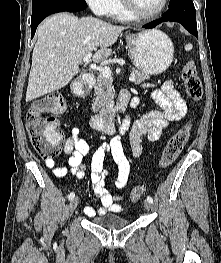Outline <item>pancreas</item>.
<instances>
[{
	"instance_id": "pancreas-1",
	"label": "pancreas",
	"mask_w": 221,
	"mask_h": 263,
	"mask_svg": "<svg viewBox=\"0 0 221 263\" xmlns=\"http://www.w3.org/2000/svg\"><path fill=\"white\" fill-rule=\"evenodd\" d=\"M132 74L135 76L134 83L139 85L145 80L149 79V75L139 70L132 69ZM112 79L110 77H104L99 74L97 81L94 85L95 101L92 105L93 110L100 111L102 113L109 112L113 107V92H112Z\"/></svg>"
}]
</instances>
